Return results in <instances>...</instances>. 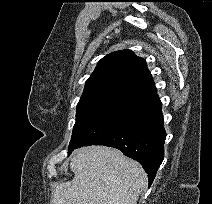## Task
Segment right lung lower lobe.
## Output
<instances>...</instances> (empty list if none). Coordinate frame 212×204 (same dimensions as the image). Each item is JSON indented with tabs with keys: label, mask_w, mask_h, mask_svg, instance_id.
<instances>
[{
	"label": "right lung lower lobe",
	"mask_w": 212,
	"mask_h": 204,
	"mask_svg": "<svg viewBox=\"0 0 212 204\" xmlns=\"http://www.w3.org/2000/svg\"><path fill=\"white\" fill-rule=\"evenodd\" d=\"M161 101L147 103L126 125L93 145L119 149L138 161L148 174L149 186L164 158L166 132L163 128Z\"/></svg>",
	"instance_id": "right-lung-lower-lobe-1"
}]
</instances>
